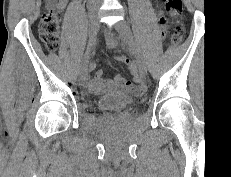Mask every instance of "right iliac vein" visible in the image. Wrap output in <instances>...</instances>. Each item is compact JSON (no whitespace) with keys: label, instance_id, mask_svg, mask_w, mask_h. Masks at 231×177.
Here are the masks:
<instances>
[{"label":"right iliac vein","instance_id":"1","mask_svg":"<svg viewBox=\"0 0 231 177\" xmlns=\"http://www.w3.org/2000/svg\"><path fill=\"white\" fill-rule=\"evenodd\" d=\"M99 17L96 10H92L89 15L90 36L99 29ZM88 77V60L87 57L83 60L79 70V81L84 83Z\"/></svg>","mask_w":231,"mask_h":177}]
</instances>
